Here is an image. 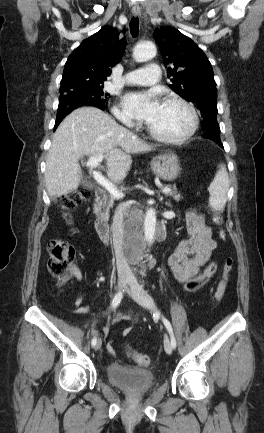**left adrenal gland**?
<instances>
[{"instance_id":"left-adrenal-gland-1","label":"left adrenal gland","mask_w":264,"mask_h":433,"mask_svg":"<svg viewBox=\"0 0 264 433\" xmlns=\"http://www.w3.org/2000/svg\"><path fill=\"white\" fill-rule=\"evenodd\" d=\"M166 205L170 207L172 206L170 202H166Z\"/></svg>"}]
</instances>
